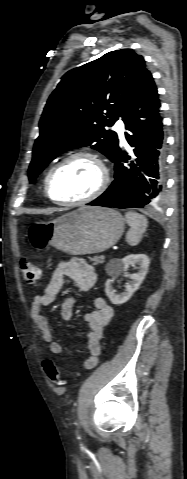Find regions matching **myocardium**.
<instances>
[{
    "label": "myocardium",
    "mask_w": 187,
    "mask_h": 479,
    "mask_svg": "<svg viewBox=\"0 0 187 479\" xmlns=\"http://www.w3.org/2000/svg\"><path fill=\"white\" fill-rule=\"evenodd\" d=\"M77 158H87L92 160L99 168L100 170V181L95 188L93 192H91L89 195L77 199V200H71V201H60L56 200L55 198L52 197L51 192H50V185L52 178L54 174L58 171L60 167H62L64 164L67 162L77 159ZM109 185V171L103 162V160L96 155L95 153L89 152V151H77L73 152L65 157H63L61 160H59L48 172L46 176V180L44 183V193L45 196L53 203L63 205V206H77V205H82L86 204L89 202L94 201L98 197H100L107 189Z\"/></svg>",
    "instance_id": "myocardium-1"
}]
</instances>
